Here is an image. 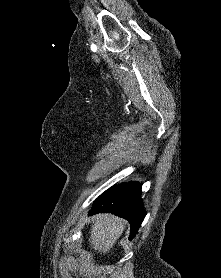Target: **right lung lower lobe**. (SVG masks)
<instances>
[{
  "label": "right lung lower lobe",
  "instance_id": "98d812e1",
  "mask_svg": "<svg viewBox=\"0 0 221 278\" xmlns=\"http://www.w3.org/2000/svg\"><path fill=\"white\" fill-rule=\"evenodd\" d=\"M100 212H110L127 219L131 226L129 239H133L146 215L140 183H122L105 191L96 200L89 214Z\"/></svg>",
  "mask_w": 221,
  "mask_h": 278
}]
</instances>
